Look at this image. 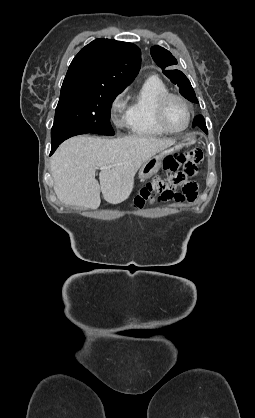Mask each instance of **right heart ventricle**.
I'll use <instances>...</instances> for the list:
<instances>
[{
    "mask_svg": "<svg viewBox=\"0 0 255 418\" xmlns=\"http://www.w3.org/2000/svg\"><path fill=\"white\" fill-rule=\"evenodd\" d=\"M168 92L165 83L156 76L148 77L133 96L126 112V125L136 136H160L167 132L156 121L158 99Z\"/></svg>",
    "mask_w": 255,
    "mask_h": 418,
    "instance_id": "1",
    "label": "right heart ventricle"
}]
</instances>
